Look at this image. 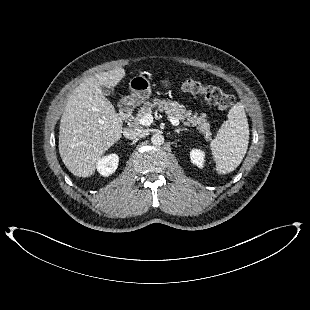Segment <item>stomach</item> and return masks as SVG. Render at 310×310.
Here are the masks:
<instances>
[{
    "instance_id": "1",
    "label": "stomach",
    "mask_w": 310,
    "mask_h": 310,
    "mask_svg": "<svg viewBox=\"0 0 310 310\" xmlns=\"http://www.w3.org/2000/svg\"><path fill=\"white\" fill-rule=\"evenodd\" d=\"M162 86L164 88L170 87V82L168 79L163 80ZM129 88L132 92L131 99L133 101H145L151 95V84L150 81L143 75L133 77L129 82Z\"/></svg>"
}]
</instances>
